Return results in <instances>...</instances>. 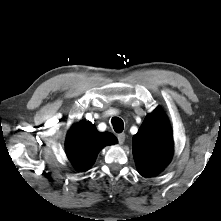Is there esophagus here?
<instances>
[{"instance_id":"obj_1","label":"esophagus","mask_w":221,"mask_h":221,"mask_svg":"<svg viewBox=\"0 0 221 221\" xmlns=\"http://www.w3.org/2000/svg\"><path fill=\"white\" fill-rule=\"evenodd\" d=\"M125 138H126V136L124 133H120L117 135V139H118L119 144H123L125 141Z\"/></svg>"}]
</instances>
